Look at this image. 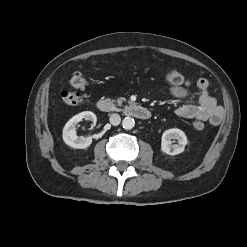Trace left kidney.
<instances>
[{
	"label": "left kidney",
	"instance_id": "left-kidney-1",
	"mask_svg": "<svg viewBox=\"0 0 247 247\" xmlns=\"http://www.w3.org/2000/svg\"><path fill=\"white\" fill-rule=\"evenodd\" d=\"M171 140H177L178 144H172ZM188 144L185 133L177 128L166 130L161 139V150L168 155H177L184 151Z\"/></svg>",
	"mask_w": 247,
	"mask_h": 247
}]
</instances>
